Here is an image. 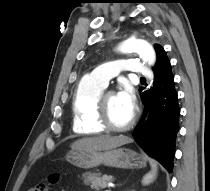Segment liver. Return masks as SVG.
<instances>
[{"mask_svg": "<svg viewBox=\"0 0 210 191\" xmlns=\"http://www.w3.org/2000/svg\"><path fill=\"white\" fill-rule=\"evenodd\" d=\"M132 139L127 136H97L82 138L72 143L73 150H109L124 144L131 143Z\"/></svg>", "mask_w": 210, "mask_h": 191, "instance_id": "1", "label": "liver"}]
</instances>
